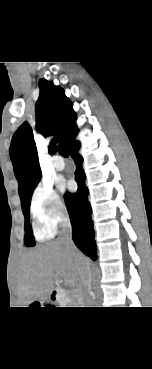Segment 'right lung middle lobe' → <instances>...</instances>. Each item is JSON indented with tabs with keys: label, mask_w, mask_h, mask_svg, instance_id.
<instances>
[{
	"label": "right lung middle lobe",
	"mask_w": 152,
	"mask_h": 369,
	"mask_svg": "<svg viewBox=\"0 0 152 369\" xmlns=\"http://www.w3.org/2000/svg\"><path fill=\"white\" fill-rule=\"evenodd\" d=\"M36 185L34 187H32L28 191V193H27V195L25 197V200L23 202H21L23 214L25 216V237H24V242H25V245L28 246V247L35 245L34 237H33V234H32V229H31V225L29 223V206H30L31 196H32L33 190L35 189Z\"/></svg>",
	"instance_id": "1"
}]
</instances>
